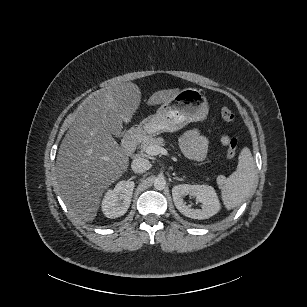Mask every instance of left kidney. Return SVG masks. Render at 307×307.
Here are the masks:
<instances>
[{
	"label": "left kidney",
	"instance_id": "obj_1",
	"mask_svg": "<svg viewBox=\"0 0 307 307\" xmlns=\"http://www.w3.org/2000/svg\"><path fill=\"white\" fill-rule=\"evenodd\" d=\"M172 195L177 209L185 216L194 219H206L221 209V202L215 188L208 184H179L173 187ZM193 196L203 203L202 209L191 208L183 201L186 196Z\"/></svg>",
	"mask_w": 307,
	"mask_h": 307
}]
</instances>
